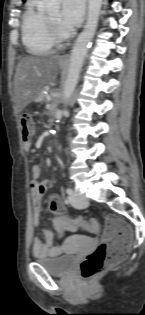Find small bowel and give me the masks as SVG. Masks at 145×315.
Wrapping results in <instances>:
<instances>
[{"instance_id":"obj_1","label":"small bowel","mask_w":145,"mask_h":315,"mask_svg":"<svg viewBox=\"0 0 145 315\" xmlns=\"http://www.w3.org/2000/svg\"><path fill=\"white\" fill-rule=\"evenodd\" d=\"M32 147V142L27 141L24 143V149L29 151ZM31 181H30V192L32 196L33 203V217L32 224L34 226H38L40 223V214L42 210V198L47 191V181H39L41 176V169L39 166H32L31 170ZM62 202V201H61ZM61 207H65L63 203H61ZM53 225L55 230L59 235H62L68 231H76L78 226L75 221L69 219H57L55 217L53 221ZM43 240L34 237L32 240V252L36 257H56L62 253V247L56 246L55 242L58 238L56 234H54L50 230H43Z\"/></svg>"}]
</instances>
